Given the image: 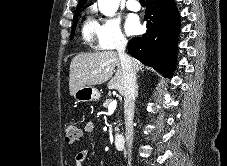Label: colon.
<instances>
[{
  "label": "colon",
  "mask_w": 227,
  "mask_h": 166,
  "mask_svg": "<svg viewBox=\"0 0 227 166\" xmlns=\"http://www.w3.org/2000/svg\"><path fill=\"white\" fill-rule=\"evenodd\" d=\"M64 135L69 143L79 141L82 138L81 131L73 122H67L64 125Z\"/></svg>",
  "instance_id": "1"
}]
</instances>
